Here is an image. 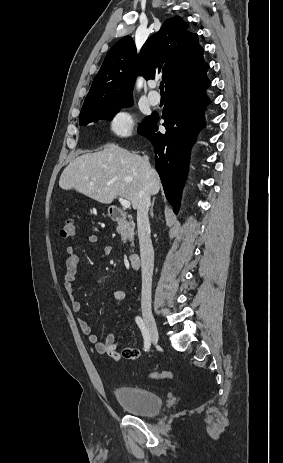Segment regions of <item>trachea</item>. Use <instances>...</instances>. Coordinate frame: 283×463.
<instances>
[{
	"instance_id": "3493384b",
	"label": "trachea",
	"mask_w": 283,
	"mask_h": 463,
	"mask_svg": "<svg viewBox=\"0 0 283 463\" xmlns=\"http://www.w3.org/2000/svg\"><path fill=\"white\" fill-rule=\"evenodd\" d=\"M160 92L161 94H164V83L160 82Z\"/></svg>"
}]
</instances>
